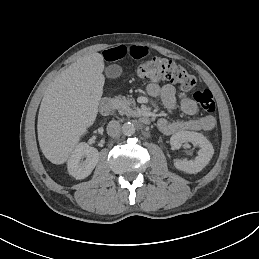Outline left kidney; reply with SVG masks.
Listing matches in <instances>:
<instances>
[{
  "instance_id": "obj_1",
  "label": "left kidney",
  "mask_w": 259,
  "mask_h": 259,
  "mask_svg": "<svg viewBox=\"0 0 259 259\" xmlns=\"http://www.w3.org/2000/svg\"><path fill=\"white\" fill-rule=\"evenodd\" d=\"M190 142L201 148L194 161L176 160L174 166L186 174L201 172L211 160L214 154L213 145L202 134L190 131H179L172 135L170 143L174 149H180L183 143Z\"/></svg>"
}]
</instances>
